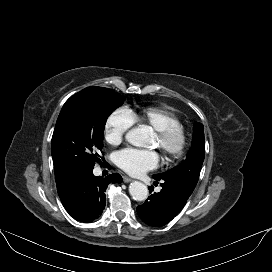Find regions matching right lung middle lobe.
Here are the masks:
<instances>
[{"label":"right lung middle lobe","instance_id":"right-lung-middle-lobe-1","mask_svg":"<svg viewBox=\"0 0 272 272\" xmlns=\"http://www.w3.org/2000/svg\"><path fill=\"white\" fill-rule=\"evenodd\" d=\"M124 100L108 88L87 87L65 102L52 136L51 154L67 177L78 178L101 163L107 118Z\"/></svg>","mask_w":272,"mask_h":272}]
</instances>
